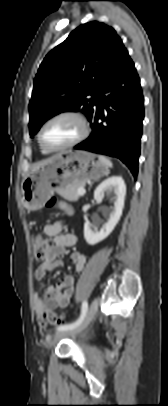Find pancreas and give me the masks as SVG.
I'll list each match as a JSON object with an SVG mask.
<instances>
[{
	"instance_id": "1",
	"label": "pancreas",
	"mask_w": 168,
	"mask_h": 406,
	"mask_svg": "<svg viewBox=\"0 0 168 406\" xmlns=\"http://www.w3.org/2000/svg\"><path fill=\"white\" fill-rule=\"evenodd\" d=\"M84 187V184H74L66 188L60 189L57 192L68 201H76L78 199L77 191Z\"/></svg>"
}]
</instances>
